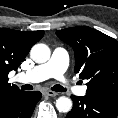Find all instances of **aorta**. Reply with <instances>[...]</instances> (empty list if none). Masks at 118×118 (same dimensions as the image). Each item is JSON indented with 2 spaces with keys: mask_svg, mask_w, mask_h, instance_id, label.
<instances>
[{
  "mask_svg": "<svg viewBox=\"0 0 118 118\" xmlns=\"http://www.w3.org/2000/svg\"><path fill=\"white\" fill-rule=\"evenodd\" d=\"M31 58L36 63H45L50 59V49L45 44H36L31 48ZM55 106L59 112L67 113L72 109V100L66 96H61L56 100Z\"/></svg>",
  "mask_w": 118,
  "mask_h": 118,
  "instance_id": "obj_1",
  "label": "aorta"
}]
</instances>
